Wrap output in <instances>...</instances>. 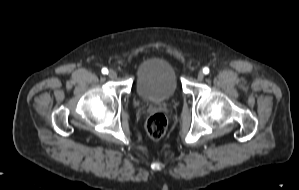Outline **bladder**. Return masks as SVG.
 I'll return each mask as SVG.
<instances>
[{"label":"bladder","instance_id":"31cf9c89","mask_svg":"<svg viewBox=\"0 0 299 190\" xmlns=\"http://www.w3.org/2000/svg\"><path fill=\"white\" fill-rule=\"evenodd\" d=\"M179 88L176 65L161 55L146 58L134 80L135 93L148 101L169 100L178 93Z\"/></svg>","mask_w":299,"mask_h":190}]
</instances>
